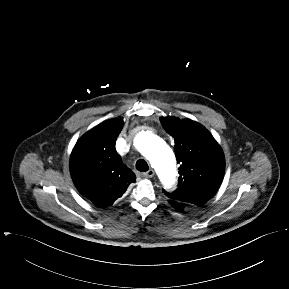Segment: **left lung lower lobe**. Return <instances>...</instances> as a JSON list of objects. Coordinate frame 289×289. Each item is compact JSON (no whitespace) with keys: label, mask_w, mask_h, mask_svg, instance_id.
<instances>
[{"label":"left lung lower lobe","mask_w":289,"mask_h":289,"mask_svg":"<svg viewBox=\"0 0 289 289\" xmlns=\"http://www.w3.org/2000/svg\"><path fill=\"white\" fill-rule=\"evenodd\" d=\"M169 203L177 210L182 211L184 208H189V207H193V205L190 204H186V203H181L179 201L176 200H168Z\"/></svg>","instance_id":"0a47b994"}]
</instances>
